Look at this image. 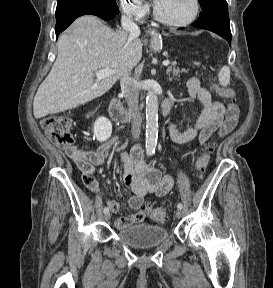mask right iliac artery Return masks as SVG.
I'll return each mask as SVG.
<instances>
[{"label":"right iliac artery","instance_id":"1","mask_svg":"<svg viewBox=\"0 0 273 288\" xmlns=\"http://www.w3.org/2000/svg\"><path fill=\"white\" fill-rule=\"evenodd\" d=\"M107 212H109V208H108V207H105V208H104V213H107Z\"/></svg>","mask_w":273,"mask_h":288}]
</instances>
